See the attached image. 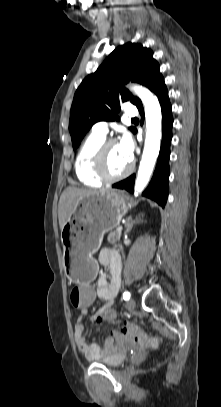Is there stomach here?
<instances>
[{
  "mask_svg": "<svg viewBox=\"0 0 221 407\" xmlns=\"http://www.w3.org/2000/svg\"><path fill=\"white\" fill-rule=\"evenodd\" d=\"M127 211L123 194L112 189L78 200L61 230L64 270L73 283L94 280L98 264L93 255L104 234L116 228Z\"/></svg>",
  "mask_w": 221,
  "mask_h": 407,
  "instance_id": "stomach-1",
  "label": "stomach"
}]
</instances>
